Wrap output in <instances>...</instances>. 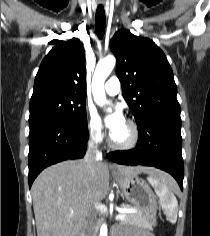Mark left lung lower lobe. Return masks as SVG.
Wrapping results in <instances>:
<instances>
[{
	"instance_id": "obj_1",
	"label": "left lung lower lobe",
	"mask_w": 210,
	"mask_h": 236,
	"mask_svg": "<svg viewBox=\"0 0 210 236\" xmlns=\"http://www.w3.org/2000/svg\"><path fill=\"white\" fill-rule=\"evenodd\" d=\"M137 146L128 151H116L107 157L123 165L154 166L170 173L183 190L181 118L176 114H159L138 125Z\"/></svg>"
}]
</instances>
